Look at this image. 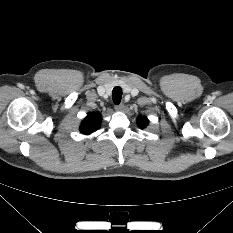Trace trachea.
I'll use <instances>...</instances> for the list:
<instances>
[{
    "instance_id": "3493384b",
    "label": "trachea",
    "mask_w": 233,
    "mask_h": 233,
    "mask_svg": "<svg viewBox=\"0 0 233 233\" xmlns=\"http://www.w3.org/2000/svg\"><path fill=\"white\" fill-rule=\"evenodd\" d=\"M112 98L113 102L115 104H120L121 98H122V89L119 86L114 87L113 92H112Z\"/></svg>"
}]
</instances>
